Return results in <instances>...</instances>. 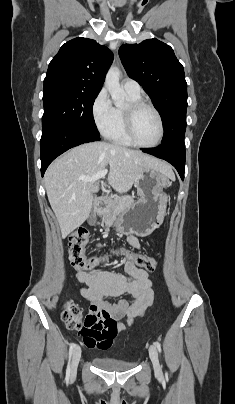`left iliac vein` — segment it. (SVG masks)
I'll return each mask as SVG.
<instances>
[{"instance_id": "4c4485c4", "label": "left iliac vein", "mask_w": 235, "mask_h": 404, "mask_svg": "<svg viewBox=\"0 0 235 404\" xmlns=\"http://www.w3.org/2000/svg\"><path fill=\"white\" fill-rule=\"evenodd\" d=\"M149 355H150V359L152 361L154 370L156 373H160L161 372V367L159 364V359H158V353H157V349L154 345H150L149 347Z\"/></svg>"}]
</instances>
